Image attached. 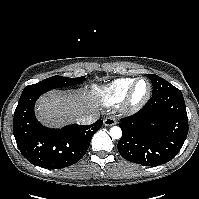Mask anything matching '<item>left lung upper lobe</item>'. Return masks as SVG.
<instances>
[{"label":"left lung upper lobe","instance_id":"1","mask_svg":"<svg viewBox=\"0 0 199 199\" xmlns=\"http://www.w3.org/2000/svg\"><path fill=\"white\" fill-rule=\"evenodd\" d=\"M147 76L150 78V80L152 82V86H153L152 95L153 96L177 89L172 84L167 82L165 79H163L157 75L147 74Z\"/></svg>","mask_w":199,"mask_h":199}]
</instances>
